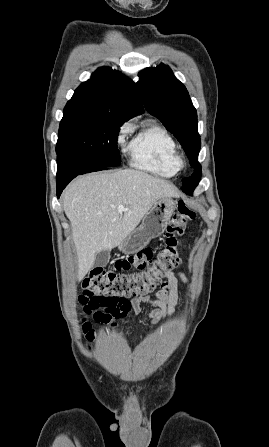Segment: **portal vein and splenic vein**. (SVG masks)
<instances>
[{
	"label": "portal vein and splenic vein",
	"instance_id": "obj_1",
	"mask_svg": "<svg viewBox=\"0 0 269 447\" xmlns=\"http://www.w3.org/2000/svg\"><path fill=\"white\" fill-rule=\"evenodd\" d=\"M117 210H118V212H126V210H128V208H124V206H118Z\"/></svg>",
	"mask_w": 269,
	"mask_h": 447
}]
</instances>
